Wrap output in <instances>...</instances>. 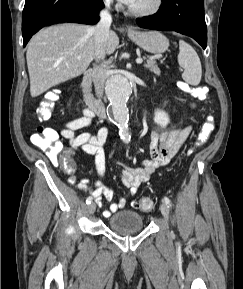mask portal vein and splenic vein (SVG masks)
Here are the masks:
<instances>
[{
  "label": "portal vein and splenic vein",
  "mask_w": 243,
  "mask_h": 289,
  "mask_svg": "<svg viewBox=\"0 0 243 289\" xmlns=\"http://www.w3.org/2000/svg\"><path fill=\"white\" fill-rule=\"evenodd\" d=\"M77 59L80 60L81 57H77ZM136 62H137L138 64H141V63L143 62V60H142L141 58H138V59H136Z\"/></svg>",
  "instance_id": "18ae733b"
}]
</instances>
